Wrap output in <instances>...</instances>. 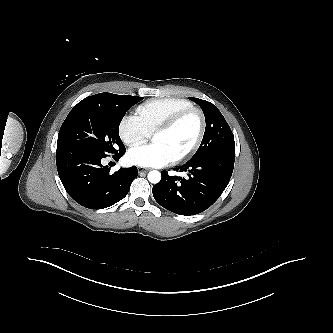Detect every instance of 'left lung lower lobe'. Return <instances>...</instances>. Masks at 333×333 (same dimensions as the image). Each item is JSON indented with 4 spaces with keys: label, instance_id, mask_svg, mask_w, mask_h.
<instances>
[{
    "label": "left lung lower lobe",
    "instance_id": "left-lung-lower-lobe-1",
    "mask_svg": "<svg viewBox=\"0 0 333 333\" xmlns=\"http://www.w3.org/2000/svg\"><path fill=\"white\" fill-rule=\"evenodd\" d=\"M235 155L216 154L189 160L175 168L188 172L187 179L169 176L162 171V179L152 189L155 200L176 214L190 216L208 209L222 194L231 178Z\"/></svg>",
    "mask_w": 333,
    "mask_h": 333
}]
</instances>
